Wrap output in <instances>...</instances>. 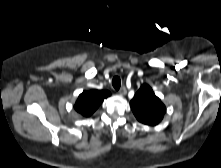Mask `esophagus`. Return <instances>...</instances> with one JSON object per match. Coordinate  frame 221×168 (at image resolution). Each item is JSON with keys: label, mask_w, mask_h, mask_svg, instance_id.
I'll return each mask as SVG.
<instances>
[{"label": "esophagus", "mask_w": 221, "mask_h": 168, "mask_svg": "<svg viewBox=\"0 0 221 168\" xmlns=\"http://www.w3.org/2000/svg\"><path fill=\"white\" fill-rule=\"evenodd\" d=\"M126 92H127V90H126L125 87H121V88L119 89V91H118L119 95H122V96L125 95Z\"/></svg>", "instance_id": "esophagus-1"}]
</instances>
